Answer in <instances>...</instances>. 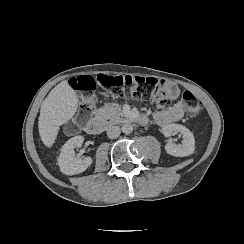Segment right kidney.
Segmentation results:
<instances>
[{
	"instance_id": "right-kidney-1",
	"label": "right kidney",
	"mask_w": 244,
	"mask_h": 244,
	"mask_svg": "<svg viewBox=\"0 0 244 244\" xmlns=\"http://www.w3.org/2000/svg\"><path fill=\"white\" fill-rule=\"evenodd\" d=\"M83 141L84 137L79 135L69 139L63 145L58 157V165L63 174L75 175L82 173L92 164L91 157H86L84 159L75 157L74 148L81 147Z\"/></svg>"
}]
</instances>
